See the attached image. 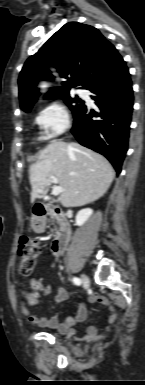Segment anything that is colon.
<instances>
[{
	"mask_svg": "<svg viewBox=\"0 0 145 385\" xmlns=\"http://www.w3.org/2000/svg\"><path fill=\"white\" fill-rule=\"evenodd\" d=\"M40 254L39 244L31 238L22 237L19 241L17 255L19 261V270L20 273L24 276L30 275L34 268L36 267L38 257ZM33 289L39 288V283L34 281L32 283ZM26 299L29 303L36 302L35 294H28Z\"/></svg>",
	"mask_w": 145,
	"mask_h": 385,
	"instance_id": "5ec220e1",
	"label": "colon"
}]
</instances>
